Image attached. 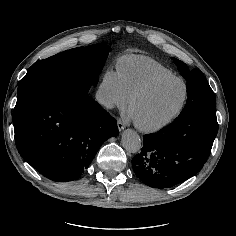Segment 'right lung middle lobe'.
<instances>
[{"label":"right lung middle lobe","instance_id":"dd1d6c3e","mask_svg":"<svg viewBox=\"0 0 236 236\" xmlns=\"http://www.w3.org/2000/svg\"><path fill=\"white\" fill-rule=\"evenodd\" d=\"M108 53V45L95 44L35 62L19 82L17 101L36 91L74 83H84L89 90L98 82Z\"/></svg>","mask_w":236,"mask_h":236}]
</instances>
